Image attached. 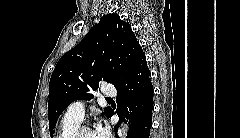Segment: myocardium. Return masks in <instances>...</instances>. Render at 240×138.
<instances>
[{
    "instance_id": "myocardium-1",
    "label": "myocardium",
    "mask_w": 240,
    "mask_h": 138,
    "mask_svg": "<svg viewBox=\"0 0 240 138\" xmlns=\"http://www.w3.org/2000/svg\"><path fill=\"white\" fill-rule=\"evenodd\" d=\"M89 126L87 125H79L77 129L71 135V138H81V135L84 131L89 130Z\"/></svg>"
}]
</instances>
